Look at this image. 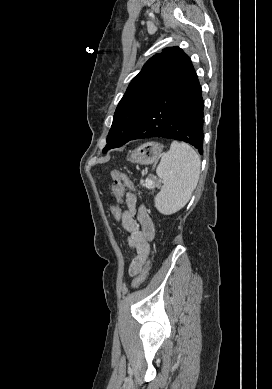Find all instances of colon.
I'll use <instances>...</instances> for the list:
<instances>
[{
  "mask_svg": "<svg viewBox=\"0 0 272 389\" xmlns=\"http://www.w3.org/2000/svg\"><path fill=\"white\" fill-rule=\"evenodd\" d=\"M111 178L113 181L112 186V196L115 199V204L111 207V212L115 220L119 221L121 219L122 215V209L120 206V202L122 200L124 189L129 188L132 189L133 185L130 181V179L127 177L125 173H123L120 170H113L111 172ZM150 265L147 263L141 273L135 278L133 282V287L138 288L140 287L144 281L146 280L148 273H149Z\"/></svg>",
  "mask_w": 272,
  "mask_h": 389,
  "instance_id": "colon-1",
  "label": "colon"
}]
</instances>
